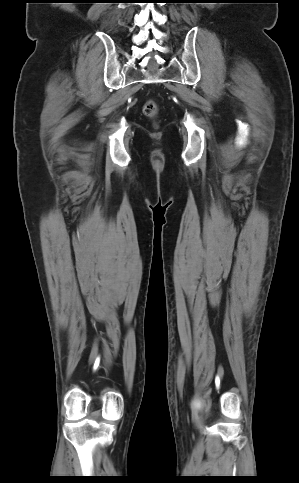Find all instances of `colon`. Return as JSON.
I'll list each match as a JSON object with an SVG mask.
<instances>
[{
	"label": "colon",
	"instance_id": "colon-1",
	"mask_svg": "<svg viewBox=\"0 0 299 483\" xmlns=\"http://www.w3.org/2000/svg\"><path fill=\"white\" fill-rule=\"evenodd\" d=\"M143 112L147 117H155L158 112L157 103L154 100H148L144 105Z\"/></svg>",
	"mask_w": 299,
	"mask_h": 483
}]
</instances>
